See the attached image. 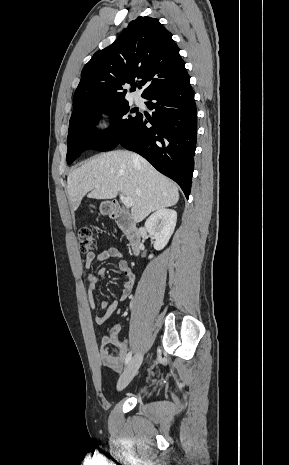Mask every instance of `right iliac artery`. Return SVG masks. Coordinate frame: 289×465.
<instances>
[{
  "mask_svg": "<svg viewBox=\"0 0 289 465\" xmlns=\"http://www.w3.org/2000/svg\"><path fill=\"white\" fill-rule=\"evenodd\" d=\"M131 358H132V352H129L125 359V365H127L130 362Z\"/></svg>",
  "mask_w": 289,
  "mask_h": 465,
  "instance_id": "1",
  "label": "right iliac artery"
}]
</instances>
